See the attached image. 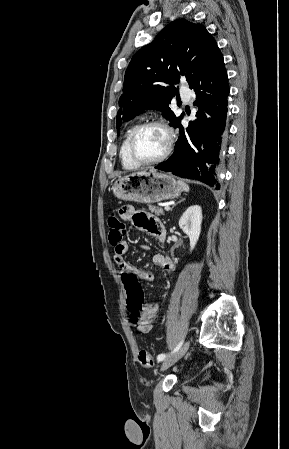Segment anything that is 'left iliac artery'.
Returning <instances> with one entry per match:
<instances>
[{
  "label": "left iliac artery",
  "mask_w": 289,
  "mask_h": 449,
  "mask_svg": "<svg viewBox=\"0 0 289 449\" xmlns=\"http://www.w3.org/2000/svg\"><path fill=\"white\" fill-rule=\"evenodd\" d=\"M182 344H183V341H181L170 354L177 352L180 349V347L182 346ZM170 354H159L157 356V360L163 361L166 357L170 356Z\"/></svg>",
  "instance_id": "1"
}]
</instances>
